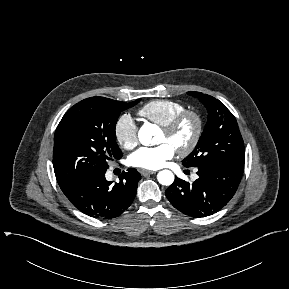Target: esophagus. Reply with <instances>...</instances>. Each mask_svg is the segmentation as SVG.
I'll list each match as a JSON object with an SVG mask.
<instances>
[{
  "mask_svg": "<svg viewBox=\"0 0 289 289\" xmlns=\"http://www.w3.org/2000/svg\"><path fill=\"white\" fill-rule=\"evenodd\" d=\"M139 172H140V174L143 175V176L150 175V174H155V173H156V171H151V170H147V169H140Z\"/></svg>",
  "mask_w": 289,
  "mask_h": 289,
  "instance_id": "1",
  "label": "esophagus"
}]
</instances>
